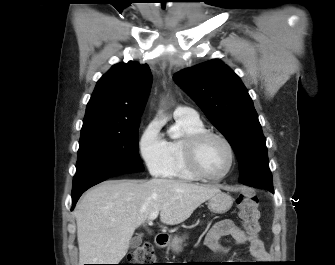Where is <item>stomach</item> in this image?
Returning a JSON list of instances; mask_svg holds the SVG:
<instances>
[{"mask_svg":"<svg viewBox=\"0 0 335 265\" xmlns=\"http://www.w3.org/2000/svg\"><path fill=\"white\" fill-rule=\"evenodd\" d=\"M232 204L233 198L229 194L221 191L209 198L207 203L210 211L218 214L227 212Z\"/></svg>","mask_w":335,"mask_h":265,"instance_id":"obj_1","label":"stomach"}]
</instances>
